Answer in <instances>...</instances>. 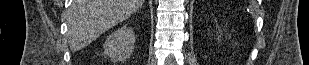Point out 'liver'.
Returning <instances> with one entry per match:
<instances>
[{
	"mask_svg": "<svg viewBox=\"0 0 309 65\" xmlns=\"http://www.w3.org/2000/svg\"><path fill=\"white\" fill-rule=\"evenodd\" d=\"M144 0H73L68 11V43L78 51L129 18Z\"/></svg>",
	"mask_w": 309,
	"mask_h": 65,
	"instance_id": "liver-1",
	"label": "liver"
}]
</instances>
